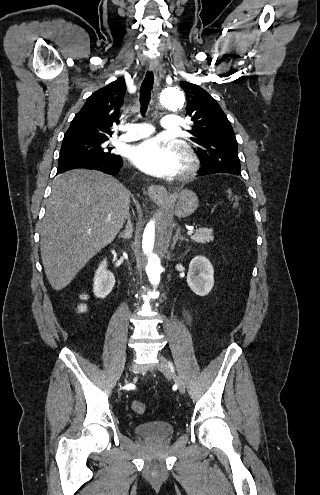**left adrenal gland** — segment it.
Returning <instances> with one entry per match:
<instances>
[{
  "label": "left adrenal gland",
  "mask_w": 320,
  "mask_h": 495,
  "mask_svg": "<svg viewBox=\"0 0 320 495\" xmlns=\"http://www.w3.org/2000/svg\"><path fill=\"white\" fill-rule=\"evenodd\" d=\"M179 240L188 242V239L180 234V229H177L176 234L173 238L172 248L176 245L177 241Z\"/></svg>",
  "instance_id": "left-adrenal-gland-1"
}]
</instances>
